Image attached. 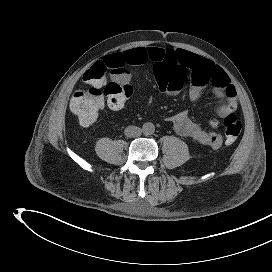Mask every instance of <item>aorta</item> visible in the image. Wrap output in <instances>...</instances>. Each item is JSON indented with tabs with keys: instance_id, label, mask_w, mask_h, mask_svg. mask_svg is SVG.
I'll use <instances>...</instances> for the list:
<instances>
[{
	"instance_id": "obj_1",
	"label": "aorta",
	"mask_w": 272,
	"mask_h": 272,
	"mask_svg": "<svg viewBox=\"0 0 272 272\" xmlns=\"http://www.w3.org/2000/svg\"><path fill=\"white\" fill-rule=\"evenodd\" d=\"M155 131V126L153 123L151 122H146L143 124L142 126V132L145 134V135H152Z\"/></svg>"
}]
</instances>
